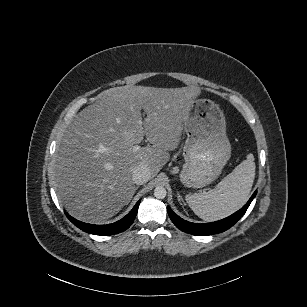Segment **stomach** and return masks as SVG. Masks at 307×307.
Instances as JSON below:
<instances>
[{"label": "stomach", "mask_w": 307, "mask_h": 307, "mask_svg": "<svg viewBox=\"0 0 307 307\" xmlns=\"http://www.w3.org/2000/svg\"><path fill=\"white\" fill-rule=\"evenodd\" d=\"M187 139L180 180L186 187L202 188L221 174L231 156L223 111L210 99H196L184 120Z\"/></svg>", "instance_id": "obj_1"}]
</instances>
